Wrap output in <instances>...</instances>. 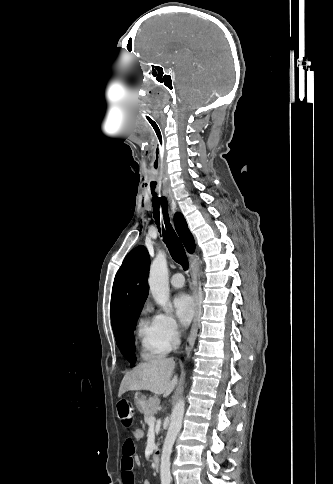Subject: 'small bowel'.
Here are the masks:
<instances>
[{
    "label": "small bowel",
    "instance_id": "1",
    "mask_svg": "<svg viewBox=\"0 0 333 484\" xmlns=\"http://www.w3.org/2000/svg\"><path fill=\"white\" fill-rule=\"evenodd\" d=\"M117 418L122 427L131 431L135 427V412L133 405L128 397L119 399L116 405ZM121 471L123 484H134L133 467L139 462L135 452L134 441L128 437L125 439L122 450Z\"/></svg>",
    "mask_w": 333,
    "mask_h": 484
}]
</instances>
